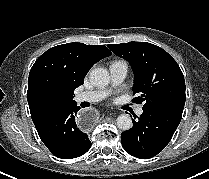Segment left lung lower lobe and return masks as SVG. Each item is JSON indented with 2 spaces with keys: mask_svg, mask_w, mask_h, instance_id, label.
Instances as JSON below:
<instances>
[{
  "mask_svg": "<svg viewBox=\"0 0 209 179\" xmlns=\"http://www.w3.org/2000/svg\"><path fill=\"white\" fill-rule=\"evenodd\" d=\"M182 112L174 108L143 109L138 120L132 119L133 127L121 134L123 148L140 159L154 157L170 142Z\"/></svg>",
  "mask_w": 209,
  "mask_h": 179,
  "instance_id": "1",
  "label": "left lung lower lobe"
}]
</instances>
